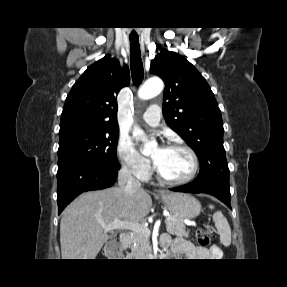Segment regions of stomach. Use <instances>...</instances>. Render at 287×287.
I'll use <instances>...</instances> for the list:
<instances>
[{
  "mask_svg": "<svg viewBox=\"0 0 287 287\" xmlns=\"http://www.w3.org/2000/svg\"><path fill=\"white\" fill-rule=\"evenodd\" d=\"M161 200L172 215L181 219L196 218L201 212L200 202L190 194L164 191Z\"/></svg>",
  "mask_w": 287,
  "mask_h": 287,
  "instance_id": "stomach-1",
  "label": "stomach"
}]
</instances>
